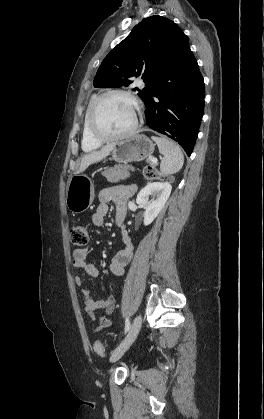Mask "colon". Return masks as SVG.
<instances>
[{"instance_id":"5ec220e1","label":"colon","mask_w":264,"mask_h":419,"mask_svg":"<svg viewBox=\"0 0 264 419\" xmlns=\"http://www.w3.org/2000/svg\"><path fill=\"white\" fill-rule=\"evenodd\" d=\"M143 175L148 180L162 179L165 178L151 166H147L143 169ZM89 240V225L87 223H78L73 226L70 230V241L77 247H84L87 245ZM94 352L100 356H106V349L100 341H95L93 345Z\"/></svg>"}]
</instances>
